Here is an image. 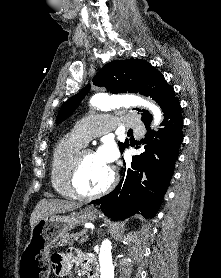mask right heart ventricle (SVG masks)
<instances>
[{"instance_id": "right-heart-ventricle-1", "label": "right heart ventricle", "mask_w": 221, "mask_h": 278, "mask_svg": "<svg viewBox=\"0 0 221 278\" xmlns=\"http://www.w3.org/2000/svg\"><path fill=\"white\" fill-rule=\"evenodd\" d=\"M85 143L72 134L64 136L56 144L50 168V181L55 192L64 198H76L70 191L67 173L70 162L75 154L83 148Z\"/></svg>"}]
</instances>
